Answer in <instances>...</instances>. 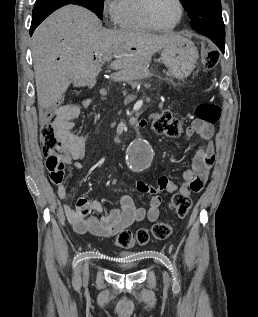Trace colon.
Wrapping results in <instances>:
<instances>
[{"instance_id":"obj_1","label":"colon","mask_w":258,"mask_h":317,"mask_svg":"<svg viewBox=\"0 0 258 317\" xmlns=\"http://www.w3.org/2000/svg\"><path fill=\"white\" fill-rule=\"evenodd\" d=\"M217 63L216 53L207 51L204 55V64L207 68H212ZM221 109L214 103H201L196 108L198 119L214 124L220 117ZM56 115L46 113L43 116V127L40 133V141L43 151L52 156H65V145L59 135L56 126ZM152 127L154 131L165 134L169 137H177L181 133V124L179 119L168 110L160 111L152 116ZM192 202L188 195L176 193L171 198L169 208L180 219L185 218L191 208ZM173 231V222L171 220L155 223L150 230L140 229L137 232L123 230L116 235L114 242L121 248H131L135 245H145L151 238L164 240L168 238Z\"/></svg>"}]
</instances>
